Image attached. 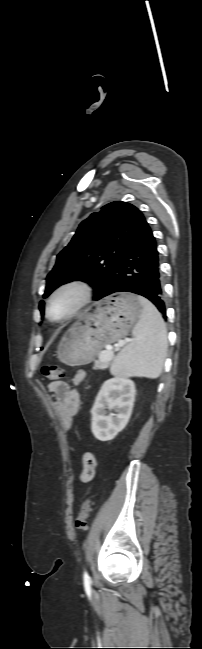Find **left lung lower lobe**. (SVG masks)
Listing matches in <instances>:
<instances>
[{"label":"left lung lower lobe","instance_id":"0a47b994","mask_svg":"<svg viewBox=\"0 0 202 649\" xmlns=\"http://www.w3.org/2000/svg\"><path fill=\"white\" fill-rule=\"evenodd\" d=\"M116 292H131L148 298L166 319L156 241L144 219L127 241L100 300Z\"/></svg>","mask_w":202,"mask_h":649}]
</instances>
